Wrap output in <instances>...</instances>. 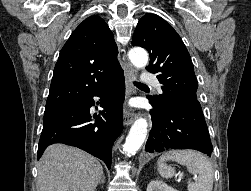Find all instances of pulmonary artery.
I'll use <instances>...</instances> for the list:
<instances>
[{
	"instance_id": "obj_1",
	"label": "pulmonary artery",
	"mask_w": 251,
	"mask_h": 191,
	"mask_svg": "<svg viewBox=\"0 0 251 191\" xmlns=\"http://www.w3.org/2000/svg\"><path fill=\"white\" fill-rule=\"evenodd\" d=\"M140 82H149V86H155L159 91L161 90L156 73H145V77H140Z\"/></svg>"
}]
</instances>
